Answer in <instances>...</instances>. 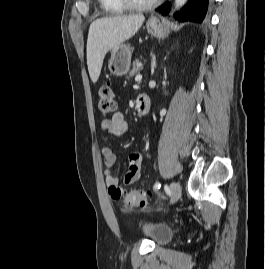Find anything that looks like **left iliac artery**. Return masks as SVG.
<instances>
[{"label":"left iliac artery","mask_w":265,"mask_h":269,"mask_svg":"<svg viewBox=\"0 0 265 269\" xmlns=\"http://www.w3.org/2000/svg\"><path fill=\"white\" fill-rule=\"evenodd\" d=\"M161 187V183L160 182H156L154 185V190H158Z\"/></svg>","instance_id":"1"}]
</instances>
